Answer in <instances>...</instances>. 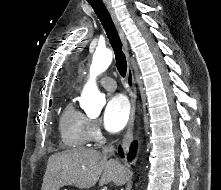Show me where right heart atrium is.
<instances>
[{"instance_id":"d8ad5b80","label":"right heart atrium","mask_w":221,"mask_h":190,"mask_svg":"<svg viewBox=\"0 0 221 190\" xmlns=\"http://www.w3.org/2000/svg\"><path fill=\"white\" fill-rule=\"evenodd\" d=\"M89 142L97 144L102 141V131L98 123L94 120H90L88 127Z\"/></svg>"}]
</instances>
